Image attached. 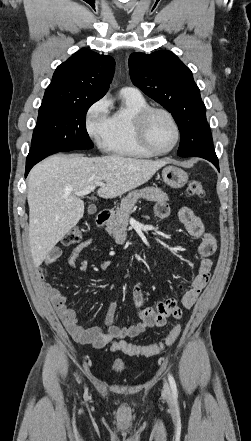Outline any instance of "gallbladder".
<instances>
[{
    "mask_svg": "<svg viewBox=\"0 0 251 441\" xmlns=\"http://www.w3.org/2000/svg\"><path fill=\"white\" fill-rule=\"evenodd\" d=\"M97 211V208L95 205H89L88 212L89 214H94Z\"/></svg>",
    "mask_w": 251,
    "mask_h": 441,
    "instance_id": "bac80fb5",
    "label": "gallbladder"
}]
</instances>
